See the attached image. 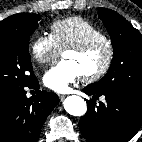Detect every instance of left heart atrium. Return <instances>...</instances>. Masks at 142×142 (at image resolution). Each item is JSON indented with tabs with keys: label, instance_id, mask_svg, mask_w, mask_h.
Returning <instances> with one entry per match:
<instances>
[{
	"label": "left heart atrium",
	"instance_id": "obj_1",
	"mask_svg": "<svg viewBox=\"0 0 142 142\" xmlns=\"http://www.w3.org/2000/svg\"><path fill=\"white\" fill-rule=\"evenodd\" d=\"M81 76L77 66L72 61L64 59L46 71L43 81L48 88L63 93Z\"/></svg>",
	"mask_w": 142,
	"mask_h": 142
}]
</instances>
